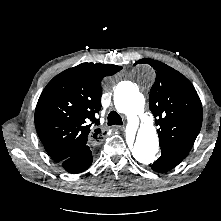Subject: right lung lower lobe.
<instances>
[{"mask_svg": "<svg viewBox=\"0 0 221 221\" xmlns=\"http://www.w3.org/2000/svg\"><path fill=\"white\" fill-rule=\"evenodd\" d=\"M92 160V151L90 149V146L87 145L86 147L82 148L77 153L60 163L67 172L76 174L88 169L92 163Z\"/></svg>", "mask_w": 221, "mask_h": 221, "instance_id": "98d812e1", "label": "right lung lower lobe"}]
</instances>
